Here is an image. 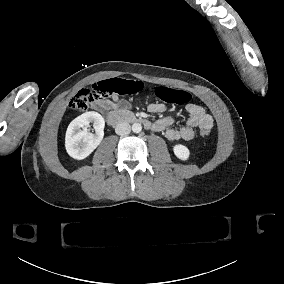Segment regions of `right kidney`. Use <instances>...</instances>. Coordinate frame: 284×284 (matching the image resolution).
I'll return each mask as SVG.
<instances>
[{
    "label": "right kidney",
    "mask_w": 284,
    "mask_h": 284,
    "mask_svg": "<svg viewBox=\"0 0 284 284\" xmlns=\"http://www.w3.org/2000/svg\"><path fill=\"white\" fill-rule=\"evenodd\" d=\"M93 123L95 134L88 132L87 127ZM104 118L97 112L83 113L68 126L65 137L67 153L74 159H84L100 144L104 136Z\"/></svg>",
    "instance_id": "obj_1"
}]
</instances>
